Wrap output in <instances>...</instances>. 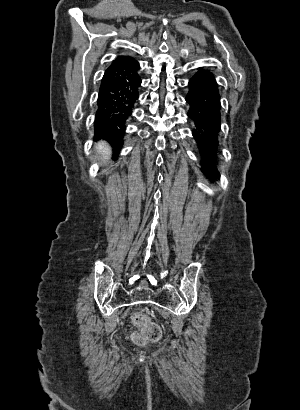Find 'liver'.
Returning <instances> with one entry per match:
<instances>
[{"mask_svg": "<svg viewBox=\"0 0 300 410\" xmlns=\"http://www.w3.org/2000/svg\"><path fill=\"white\" fill-rule=\"evenodd\" d=\"M97 152L101 153L103 159H109L111 154V149L106 142L100 141L96 144Z\"/></svg>", "mask_w": 300, "mask_h": 410, "instance_id": "6515ba94", "label": "liver"}]
</instances>
